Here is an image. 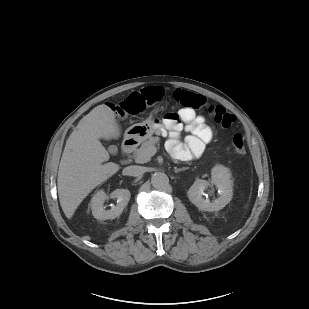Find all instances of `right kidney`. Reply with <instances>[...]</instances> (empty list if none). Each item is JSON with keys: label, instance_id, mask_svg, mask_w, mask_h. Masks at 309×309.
<instances>
[{"label": "right kidney", "instance_id": "right-kidney-1", "mask_svg": "<svg viewBox=\"0 0 309 309\" xmlns=\"http://www.w3.org/2000/svg\"><path fill=\"white\" fill-rule=\"evenodd\" d=\"M131 194L127 189H116L110 193L109 197L103 190H99L91 200V210L94 218L98 220L114 219L121 215L123 209L127 206ZM107 198H116L117 204L110 210H105L104 202Z\"/></svg>", "mask_w": 309, "mask_h": 309}]
</instances>
